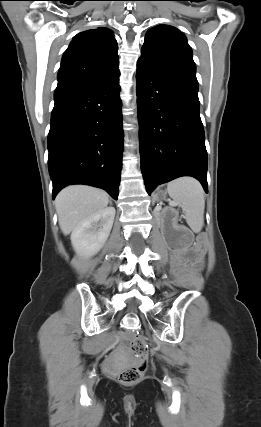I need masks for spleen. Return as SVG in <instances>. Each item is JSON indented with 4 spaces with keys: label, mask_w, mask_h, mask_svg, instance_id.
I'll list each match as a JSON object with an SVG mask.
<instances>
[{
    "label": "spleen",
    "mask_w": 261,
    "mask_h": 427,
    "mask_svg": "<svg viewBox=\"0 0 261 427\" xmlns=\"http://www.w3.org/2000/svg\"><path fill=\"white\" fill-rule=\"evenodd\" d=\"M167 192L174 203L179 205L188 226L195 233L202 230L204 224L205 197L200 183L191 177L173 180L167 185Z\"/></svg>",
    "instance_id": "1"
}]
</instances>
